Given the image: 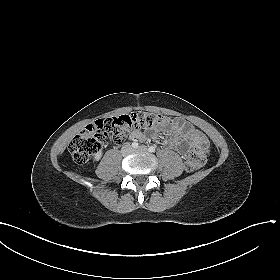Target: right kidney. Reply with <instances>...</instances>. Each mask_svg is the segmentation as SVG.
Masks as SVG:
<instances>
[{
	"label": "right kidney",
	"mask_w": 280,
	"mask_h": 280,
	"mask_svg": "<svg viewBox=\"0 0 280 280\" xmlns=\"http://www.w3.org/2000/svg\"><path fill=\"white\" fill-rule=\"evenodd\" d=\"M101 156H102V153H101V152H97V153L95 154L94 160H95V161H99L100 158H101Z\"/></svg>",
	"instance_id": "obj_1"
}]
</instances>
